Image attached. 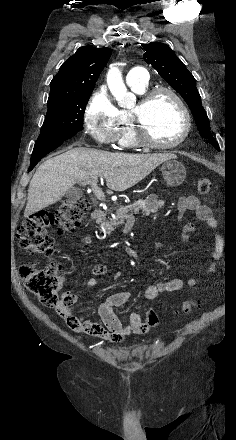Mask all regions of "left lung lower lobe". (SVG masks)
Segmentation results:
<instances>
[{"label":"left lung lower lobe","mask_w":236,"mask_h":440,"mask_svg":"<svg viewBox=\"0 0 236 440\" xmlns=\"http://www.w3.org/2000/svg\"><path fill=\"white\" fill-rule=\"evenodd\" d=\"M206 143H210V144L213 145L217 150H220L217 141L214 140L213 138H212V139H208V140L206 141Z\"/></svg>","instance_id":"0a47b994"}]
</instances>
